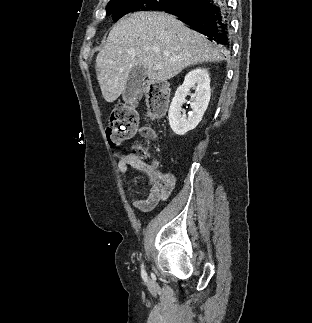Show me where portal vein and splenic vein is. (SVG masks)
<instances>
[{
  "instance_id": "portal-vein-and-splenic-vein-1",
  "label": "portal vein and splenic vein",
  "mask_w": 312,
  "mask_h": 323,
  "mask_svg": "<svg viewBox=\"0 0 312 323\" xmlns=\"http://www.w3.org/2000/svg\"><path fill=\"white\" fill-rule=\"evenodd\" d=\"M172 62H174V60H172ZM156 68H161V66H156Z\"/></svg>"
}]
</instances>
